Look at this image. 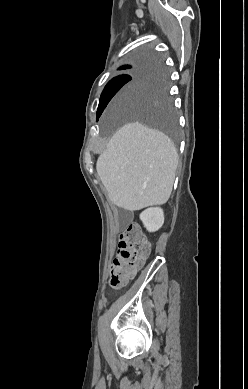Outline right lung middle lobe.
Returning a JSON list of instances; mask_svg holds the SVG:
<instances>
[{"label":"right lung middle lobe","instance_id":"1","mask_svg":"<svg viewBox=\"0 0 248 389\" xmlns=\"http://www.w3.org/2000/svg\"><path fill=\"white\" fill-rule=\"evenodd\" d=\"M122 69L131 70L128 74L113 78L105 86L99 101L97 120L109 101L125 84H143L147 86L148 94L143 101H134L126 107L128 115L161 130L171 141L178 142L176 116L167 93V74L158 59L145 58Z\"/></svg>","mask_w":248,"mask_h":389}]
</instances>
